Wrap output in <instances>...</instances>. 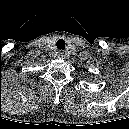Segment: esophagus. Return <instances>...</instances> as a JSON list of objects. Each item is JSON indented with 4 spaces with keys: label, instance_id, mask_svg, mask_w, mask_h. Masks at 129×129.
<instances>
[{
    "label": "esophagus",
    "instance_id": "obj_1",
    "mask_svg": "<svg viewBox=\"0 0 129 129\" xmlns=\"http://www.w3.org/2000/svg\"><path fill=\"white\" fill-rule=\"evenodd\" d=\"M58 56H59V58H64L65 57V52L64 51H59Z\"/></svg>",
    "mask_w": 129,
    "mask_h": 129
}]
</instances>
